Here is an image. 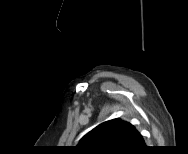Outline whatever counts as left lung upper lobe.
Returning <instances> with one entry per match:
<instances>
[{
  "instance_id": "left-lung-upper-lobe-1",
  "label": "left lung upper lobe",
  "mask_w": 188,
  "mask_h": 154,
  "mask_svg": "<svg viewBox=\"0 0 188 154\" xmlns=\"http://www.w3.org/2000/svg\"><path fill=\"white\" fill-rule=\"evenodd\" d=\"M135 127L120 119L105 121L88 132L77 148L87 154H122L131 150Z\"/></svg>"
}]
</instances>
